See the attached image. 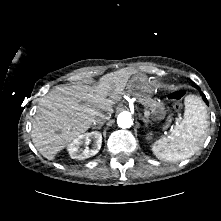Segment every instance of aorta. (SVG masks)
Instances as JSON below:
<instances>
[{
    "label": "aorta",
    "mask_w": 221,
    "mask_h": 221,
    "mask_svg": "<svg viewBox=\"0 0 221 221\" xmlns=\"http://www.w3.org/2000/svg\"><path fill=\"white\" fill-rule=\"evenodd\" d=\"M117 124L120 128H130L133 124L131 113L128 111L121 112L117 117Z\"/></svg>",
    "instance_id": "obj_1"
}]
</instances>
